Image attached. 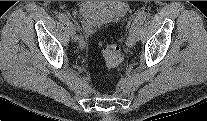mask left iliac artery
<instances>
[{"label":"left iliac artery","mask_w":207,"mask_h":121,"mask_svg":"<svg viewBox=\"0 0 207 121\" xmlns=\"http://www.w3.org/2000/svg\"><path fill=\"white\" fill-rule=\"evenodd\" d=\"M147 17V13L143 10L137 13L131 25V30L140 27Z\"/></svg>","instance_id":"obj_1"}]
</instances>
